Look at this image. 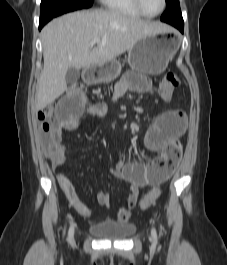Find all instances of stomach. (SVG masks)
<instances>
[{
    "label": "stomach",
    "instance_id": "1",
    "mask_svg": "<svg viewBox=\"0 0 227 265\" xmlns=\"http://www.w3.org/2000/svg\"><path fill=\"white\" fill-rule=\"evenodd\" d=\"M178 50L174 37L152 35L139 39L128 50L129 66L140 73L158 75L163 73ZM121 65L111 60L101 65L91 66L86 81L88 83H108L118 77Z\"/></svg>",
    "mask_w": 227,
    "mask_h": 265
}]
</instances>
